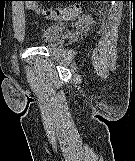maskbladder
Here are the masks:
<instances>
[{"label": "bladder", "instance_id": "1", "mask_svg": "<svg viewBox=\"0 0 135 161\" xmlns=\"http://www.w3.org/2000/svg\"><path fill=\"white\" fill-rule=\"evenodd\" d=\"M64 27L60 24L47 26L40 37V42L44 45L52 44L57 41L63 34Z\"/></svg>", "mask_w": 135, "mask_h": 161}]
</instances>
